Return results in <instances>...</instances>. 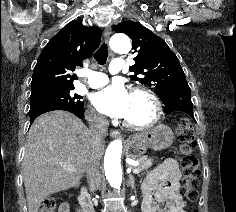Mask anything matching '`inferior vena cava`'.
<instances>
[{
    "instance_id": "inferior-vena-cava-1",
    "label": "inferior vena cava",
    "mask_w": 236,
    "mask_h": 212,
    "mask_svg": "<svg viewBox=\"0 0 236 212\" xmlns=\"http://www.w3.org/2000/svg\"><path fill=\"white\" fill-rule=\"evenodd\" d=\"M90 121V133L92 136L93 153L86 168L87 182L90 190L94 192L101 183V167L99 159V146L108 135V120L101 115H92Z\"/></svg>"
}]
</instances>
